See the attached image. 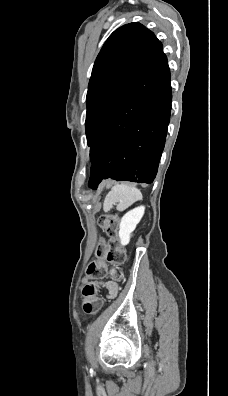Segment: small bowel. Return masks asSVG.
Listing matches in <instances>:
<instances>
[{
  "label": "small bowel",
  "instance_id": "obj_1",
  "mask_svg": "<svg viewBox=\"0 0 228 396\" xmlns=\"http://www.w3.org/2000/svg\"><path fill=\"white\" fill-rule=\"evenodd\" d=\"M103 286L108 290V297L114 298L118 293V285L115 282H106Z\"/></svg>",
  "mask_w": 228,
  "mask_h": 396
}]
</instances>
